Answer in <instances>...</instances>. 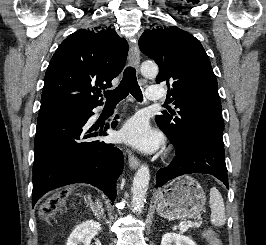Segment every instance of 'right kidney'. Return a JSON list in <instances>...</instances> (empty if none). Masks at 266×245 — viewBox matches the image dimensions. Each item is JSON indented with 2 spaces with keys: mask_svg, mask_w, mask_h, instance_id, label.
Segmentation results:
<instances>
[{
  "mask_svg": "<svg viewBox=\"0 0 266 245\" xmlns=\"http://www.w3.org/2000/svg\"><path fill=\"white\" fill-rule=\"evenodd\" d=\"M102 231L100 223L97 221H85L81 225H76L70 237H68L67 245H90L95 235Z\"/></svg>",
  "mask_w": 266,
  "mask_h": 245,
  "instance_id": "ca27d5eb",
  "label": "right kidney"
}]
</instances>
